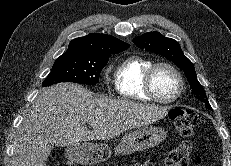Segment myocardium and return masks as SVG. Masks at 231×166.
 <instances>
[{
  "label": "myocardium",
  "mask_w": 231,
  "mask_h": 166,
  "mask_svg": "<svg viewBox=\"0 0 231 166\" xmlns=\"http://www.w3.org/2000/svg\"><path fill=\"white\" fill-rule=\"evenodd\" d=\"M161 67H165L170 69L177 77L178 79V90L176 92V94L168 99L162 98L160 97L153 85V78L155 75V72L157 71V69L161 68ZM184 86H185V81H184V77L181 73V71L173 64L169 63V62H155L153 63L146 71L145 76H144V89L145 92L148 94V96L153 99L156 102L162 103V104H171L173 102H175L183 93L184 90Z\"/></svg>",
  "instance_id": "obj_1"
}]
</instances>
